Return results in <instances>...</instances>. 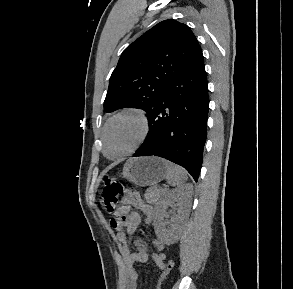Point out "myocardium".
<instances>
[{"instance_id": "1", "label": "myocardium", "mask_w": 293, "mask_h": 289, "mask_svg": "<svg viewBox=\"0 0 293 289\" xmlns=\"http://www.w3.org/2000/svg\"><path fill=\"white\" fill-rule=\"evenodd\" d=\"M123 116H133L135 117L139 123H140V134L139 137L136 141V143L129 149L127 150L125 153L119 155V156H109L107 153V147H106V142H107V132L108 129L111 125V123L113 121H115L116 119L123 117ZM150 129H151V122H150V118L147 114V112L140 107H127L124 108L122 110H120L119 112L115 113L114 115H112L108 121L106 122V124L104 125L103 131H102V144H103V153L104 155L111 160H118V159H122L125 158L131 154H133L135 151H137L145 142V140L147 139L149 133H150Z\"/></svg>"}]
</instances>
